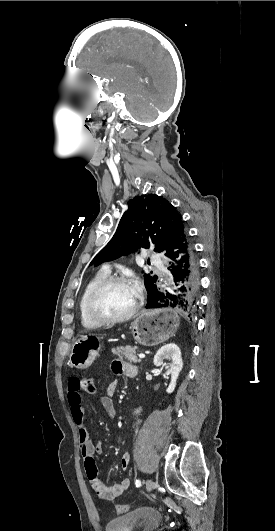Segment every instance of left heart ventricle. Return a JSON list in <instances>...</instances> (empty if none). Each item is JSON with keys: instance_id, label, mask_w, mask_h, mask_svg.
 Masks as SVG:
<instances>
[{"instance_id": "left-heart-ventricle-1", "label": "left heart ventricle", "mask_w": 275, "mask_h": 531, "mask_svg": "<svg viewBox=\"0 0 275 531\" xmlns=\"http://www.w3.org/2000/svg\"><path fill=\"white\" fill-rule=\"evenodd\" d=\"M136 291L130 282H118L107 286L94 301L97 313L107 317L126 314L134 304Z\"/></svg>"}]
</instances>
